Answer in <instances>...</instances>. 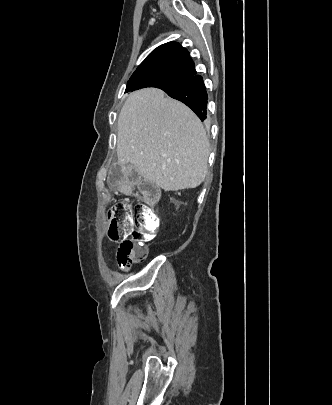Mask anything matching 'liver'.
I'll use <instances>...</instances> for the list:
<instances>
[{"label":"liver","instance_id":"1","mask_svg":"<svg viewBox=\"0 0 332 405\" xmlns=\"http://www.w3.org/2000/svg\"><path fill=\"white\" fill-rule=\"evenodd\" d=\"M205 129L185 104L161 89L130 93L118 116V164L131 163L165 191L195 188L210 154Z\"/></svg>","mask_w":332,"mask_h":405}]
</instances>
